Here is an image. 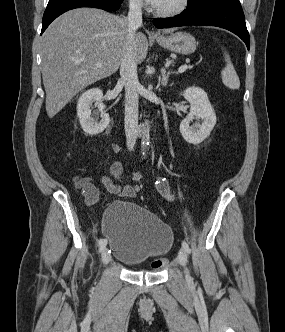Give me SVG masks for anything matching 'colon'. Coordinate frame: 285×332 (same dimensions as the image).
<instances>
[{
	"label": "colon",
	"mask_w": 285,
	"mask_h": 332,
	"mask_svg": "<svg viewBox=\"0 0 285 332\" xmlns=\"http://www.w3.org/2000/svg\"><path fill=\"white\" fill-rule=\"evenodd\" d=\"M167 263H168V260L165 259V258L158 259V260H155L153 262V267H155V268L162 267V266H164Z\"/></svg>",
	"instance_id": "obj_1"
}]
</instances>
